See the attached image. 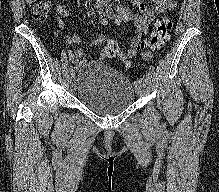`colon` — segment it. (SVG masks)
Listing matches in <instances>:
<instances>
[{"label": "colon", "mask_w": 219, "mask_h": 192, "mask_svg": "<svg viewBox=\"0 0 219 192\" xmlns=\"http://www.w3.org/2000/svg\"><path fill=\"white\" fill-rule=\"evenodd\" d=\"M31 10L33 16L42 20L47 17L50 11L49 0H32ZM172 28V21L169 18H163L155 24L148 39L139 43H132L127 51H121L115 40H109L102 48L101 54L105 58H118L125 64H130L131 58L138 54H148L158 49L169 37V31Z\"/></svg>", "instance_id": "obj_1"}]
</instances>
